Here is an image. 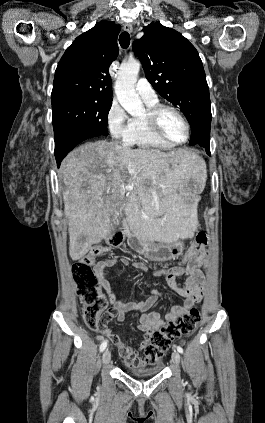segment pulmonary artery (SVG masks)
<instances>
[{
  "label": "pulmonary artery",
  "instance_id": "1",
  "mask_svg": "<svg viewBox=\"0 0 265 423\" xmlns=\"http://www.w3.org/2000/svg\"><path fill=\"white\" fill-rule=\"evenodd\" d=\"M136 92L145 102H156L157 95L151 84L146 79H140L136 86Z\"/></svg>",
  "mask_w": 265,
  "mask_h": 423
}]
</instances>
